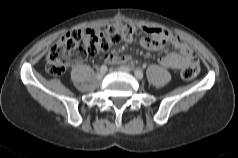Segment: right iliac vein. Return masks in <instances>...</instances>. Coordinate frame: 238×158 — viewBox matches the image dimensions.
Masks as SVG:
<instances>
[{
  "label": "right iliac vein",
  "instance_id": "63e3f726",
  "mask_svg": "<svg viewBox=\"0 0 238 158\" xmlns=\"http://www.w3.org/2000/svg\"><path fill=\"white\" fill-rule=\"evenodd\" d=\"M103 77H104V73L100 72V73L97 74V80L100 81V80L103 79Z\"/></svg>",
  "mask_w": 238,
  "mask_h": 158
}]
</instances>
